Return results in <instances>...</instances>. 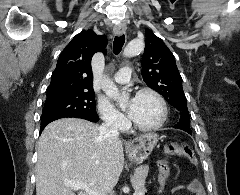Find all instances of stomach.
I'll return each mask as SVG.
<instances>
[{
  "label": "stomach",
  "instance_id": "0dacf381",
  "mask_svg": "<svg viewBox=\"0 0 240 195\" xmlns=\"http://www.w3.org/2000/svg\"><path fill=\"white\" fill-rule=\"evenodd\" d=\"M159 135L157 133H143L138 137V143L135 145H127L128 157L134 163H140L143 159H147L151 151H153Z\"/></svg>",
  "mask_w": 240,
  "mask_h": 195
}]
</instances>
